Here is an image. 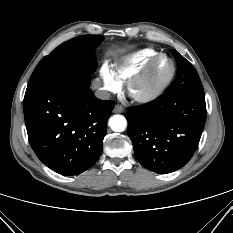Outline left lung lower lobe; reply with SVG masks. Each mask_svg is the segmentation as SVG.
<instances>
[{
    "instance_id": "0a47b994",
    "label": "left lung lower lobe",
    "mask_w": 233,
    "mask_h": 233,
    "mask_svg": "<svg viewBox=\"0 0 233 233\" xmlns=\"http://www.w3.org/2000/svg\"><path fill=\"white\" fill-rule=\"evenodd\" d=\"M134 154L145 168L166 174L193 156L205 125V96L163 94L126 113Z\"/></svg>"
}]
</instances>
